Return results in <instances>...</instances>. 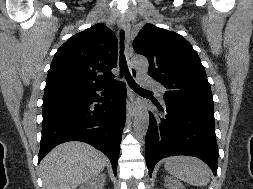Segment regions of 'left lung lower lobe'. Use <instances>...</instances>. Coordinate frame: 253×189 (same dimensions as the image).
Masks as SVG:
<instances>
[{
    "mask_svg": "<svg viewBox=\"0 0 253 189\" xmlns=\"http://www.w3.org/2000/svg\"><path fill=\"white\" fill-rule=\"evenodd\" d=\"M160 116L150 113L145 156L151 176L155 164L172 155H191L203 160L217 174L218 147L214 110L180 100L163 98Z\"/></svg>",
    "mask_w": 253,
    "mask_h": 189,
    "instance_id": "left-lung-lower-lobe-1",
    "label": "left lung lower lobe"
}]
</instances>
